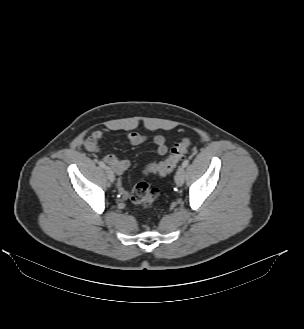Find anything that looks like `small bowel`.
Listing matches in <instances>:
<instances>
[{
  "label": "small bowel",
  "instance_id": "1",
  "mask_svg": "<svg viewBox=\"0 0 304 329\" xmlns=\"http://www.w3.org/2000/svg\"><path fill=\"white\" fill-rule=\"evenodd\" d=\"M104 138V132L96 130L92 132L85 140L84 147L86 150L92 153H101V141ZM127 140L132 145H139L145 141V137L138 132H129L127 134ZM153 142L157 148V152L160 155H165L168 151L165 138L161 135L154 137ZM103 161L109 165L117 175V188L121 196L127 198L128 192L123 185L122 174L129 168L130 161L121 159L112 153H106L102 156Z\"/></svg>",
  "mask_w": 304,
  "mask_h": 329
}]
</instances>
